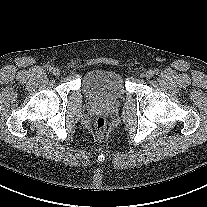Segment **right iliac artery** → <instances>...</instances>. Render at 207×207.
<instances>
[{
  "label": "right iliac artery",
  "instance_id": "82829eb1",
  "mask_svg": "<svg viewBox=\"0 0 207 207\" xmlns=\"http://www.w3.org/2000/svg\"><path fill=\"white\" fill-rule=\"evenodd\" d=\"M52 69H53V68H52L51 66H48V67H47V70H48L49 72L52 71Z\"/></svg>",
  "mask_w": 207,
  "mask_h": 207
}]
</instances>
